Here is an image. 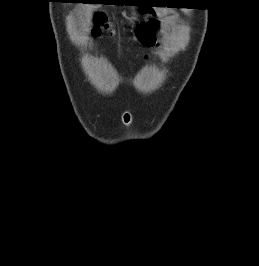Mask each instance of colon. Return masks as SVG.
Listing matches in <instances>:
<instances>
[{
	"mask_svg": "<svg viewBox=\"0 0 259 266\" xmlns=\"http://www.w3.org/2000/svg\"><path fill=\"white\" fill-rule=\"evenodd\" d=\"M95 27L93 29L94 35H100L103 32H108L111 36H114L111 24L108 22L106 16L103 13H96L94 16ZM157 23L154 20H150L139 27L138 35L141 40L147 44L152 43V33L156 29Z\"/></svg>",
	"mask_w": 259,
	"mask_h": 266,
	"instance_id": "obj_1",
	"label": "colon"
}]
</instances>
